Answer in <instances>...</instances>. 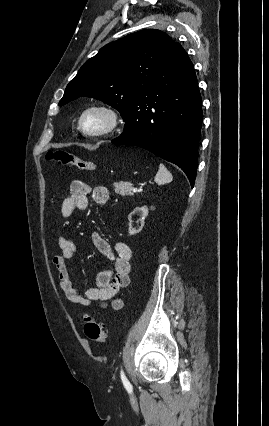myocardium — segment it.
Wrapping results in <instances>:
<instances>
[{
	"label": "myocardium",
	"instance_id": "f54148a6",
	"mask_svg": "<svg viewBox=\"0 0 269 426\" xmlns=\"http://www.w3.org/2000/svg\"><path fill=\"white\" fill-rule=\"evenodd\" d=\"M91 113H98L104 116L105 124L96 130H87L84 127L85 118ZM121 123L120 113L113 107L103 104H95L87 107L81 113L78 120V129L80 132L89 137H102L113 133Z\"/></svg>",
	"mask_w": 269,
	"mask_h": 426
}]
</instances>
